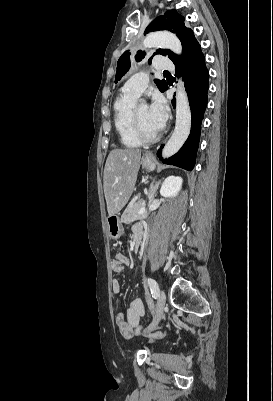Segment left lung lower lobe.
Returning <instances> with one entry per match:
<instances>
[{"label": "left lung lower lobe", "mask_w": 273, "mask_h": 401, "mask_svg": "<svg viewBox=\"0 0 273 401\" xmlns=\"http://www.w3.org/2000/svg\"><path fill=\"white\" fill-rule=\"evenodd\" d=\"M173 63L176 69L183 74L192 112V126L190 135L180 151L169 159L163 160V162L191 171L195 165L201 122L208 102L209 72L205 65V57L197 41L189 46L180 57H176ZM167 89L168 85L165 90ZM172 104L175 107V99L172 100ZM160 154L161 151L159 150L157 155L161 157Z\"/></svg>", "instance_id": "1"}]
</instances>
